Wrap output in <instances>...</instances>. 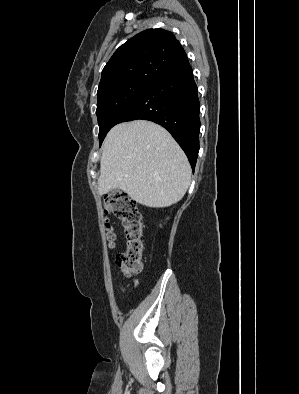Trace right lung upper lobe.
<instances>
[{"mask_svg":"<svg viewBox=\"0 0 299 394\" xmlns=\"http://www.w3.org/2000/svg\"><path fill=\"white\" fill-rule=\"evenodd\" d=\"M186 59L184 49L170 31L145 30L115 51L102 71L97 94L125 83H153Z\"/></svg>","mask_w":299,"mask_h":394,"instance_id":"1","label":"right lung upper lobe"}]
</instances>
